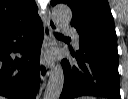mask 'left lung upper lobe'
<instances>
[{
	"instance_id": "obj_1",
	"label": "left lung upper lobe",
	"mask_w": 128,
	"mask_h": 99,
	"mask_svg": "<svg viewBox=\"0 0 128 99\" xmlns=\"http://www.w3.org/2000/svg\"><path fill=\"white\" fill-rule=\"evenodd\" d=\"M67 4L73 13L71 25L78 31H101L116 36L108 0H51Z\"/></svg>"
}]
</instances>
